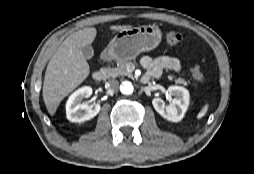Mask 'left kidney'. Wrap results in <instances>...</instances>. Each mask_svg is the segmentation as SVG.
Instances as JSON below:
<instances>
[{"mask_svg": "<svg viewBox=\"0 0 254 174\" xmlns=\"http://www.w3.org/2000/svg\"><path fill=\"white\" fill-rule=\"evenodd\" d=\"M167 91L170 96H174L170 100V104L165 105L161 98H154L152 101L153 107L166 120L179 122L189 106V92L181 86H170Z\"/></svg>", "mask_w": 254, "mask_h": 174, "instance_id": "obj_1", "label": "left kidney"}]
</instances>
